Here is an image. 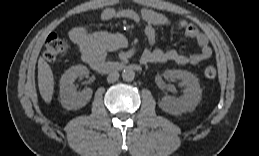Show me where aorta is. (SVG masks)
Instances as JSON below:
<instances>
[{"instance_id":"762f6f07","label":"aorta","mask_w":259,"mask_h":156,"mask_svg":"<svg viewBox=\"0 0 259 156\" xmlns=\"http://www.w3.org/2000/svg\"><path fill=\"white\" fill-rule=\"evenodd\" d=\"M122 78L124 81L131 82L135 78V72L131 68H126L122 72Z\"/></svg>"}]
</instances>
